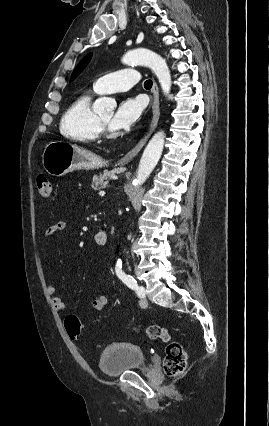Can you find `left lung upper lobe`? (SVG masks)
I'll list each match as a JSON object with an SVG mask.
<instances>
[{"label": "left lung upper lobe", "mask_w": 269, "mask_h": 426, "mask_svg": "<svg viewBox=\"0 0 269 426\" xmlns=\"http://www.w3.org/2000/svg\"><path fill=\"white\" fill-rule=\"evenodd\" d=\"M91 57H92V54L89 53L80 61V63L77 65V67L72 73L71 80H74L83 71V69L89 63Z\"/></svg>", "instance_id": "1"}]
</instances>
